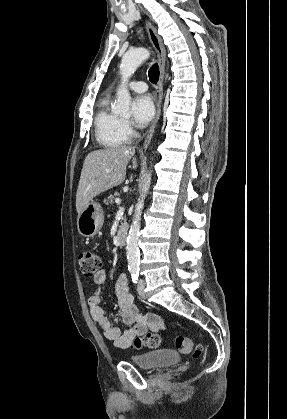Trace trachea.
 <instances>
[{
	"label": "trachea",
	"mask_w": 287,
	"mask_h": 419,
	"mask_svg": "<svg viewBox=\"0 0 287 419\" xmlns=\"http://www.w3.org/2000/svg\"><path fill=\"white\" fill-rule=\"evenodd\" d=\"M149 80L152 83H157L159 79V67L157 64H154L148 71Z\"/></svg>",
	"instance_id": "1"
}]
</instances>
